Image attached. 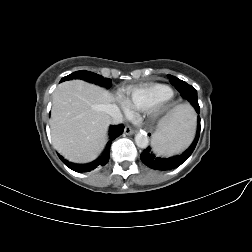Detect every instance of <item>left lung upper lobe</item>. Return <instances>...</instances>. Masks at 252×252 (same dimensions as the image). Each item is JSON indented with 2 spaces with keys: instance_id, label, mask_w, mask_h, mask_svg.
<instances>
[{
  "instance_id": "obj_1",
  "label": "left lung upper lobe",
  "mask_w": 252,
  "mask_h": 252,
  "mask_svg": "<svg viewBox=\"0 0 252 252\" xmlns=\"http://www.w3.org/2000/svg\"><path fill=\"white\" fill-rule=\"evenodd\" d=\"M168 78H169L170 82H171L173 85H175L176 83H179L180 81H182V80H180V79H178V78H176V77H174V76H172V75H168Z\"/></svg>"
}]
</instances>
